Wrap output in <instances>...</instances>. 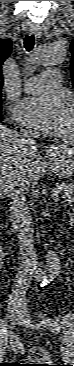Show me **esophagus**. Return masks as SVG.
I'll list each match as a JSON object with an SVG mask.
<instances>
[{"label": "esophagus", "mask_w": 74, "mask_h": 366, "mask_svg": "<svg viewBox=\"0 0 74 366\" xmlns=\"http://www.w3.org/2000/svg\"><path fill=\"white\" fill-rule=\"evenodd\" d=\"M28 31L30 34L35 35L36 38H40V36H41V32L39 31V29L37 27H30L28 29Z\"/></svg>", "instance_id": "esophagus-1"}]
</instances>
